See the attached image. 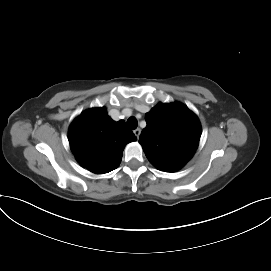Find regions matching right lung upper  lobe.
<instances>
[{
	"label": "right lung upper lobe",
	"instance_id": "obj_1",
	"mask_svg": "<svg viewBox=\"0 0 271 271\" xmlns=\"http://www.w3.org/2000/svg\"><path fill=\"white\" fill-rule=\"evenodd\" d=\"M68 136L77 161L95 174L116 169L125 145L136 141L124 121H113L105 108L83 112L71 124Z\"/></svg>",
	"mask_w": 271,
	"mask_h": 271
}]
</instances>
